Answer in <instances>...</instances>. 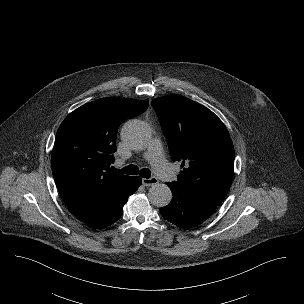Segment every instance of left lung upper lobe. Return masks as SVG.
Masks as SVG:
<instances>
[{
	"mask_svg": "<svg viewBox=\"0 0 304 304\" xmlns=\"http://www.w3.org/2000/svg\"><path fill=\"white\" fill-rule=\"evenodd\" d=\"M173 161L183 168L174 188L220 205L233 179L234 147L222 121L208 108L181 95L152 101Z\"/></svg>",
	"mask_w": 304,
	"mask_h": 304,
	"instance_id": "5c2ea615",
	"label": "left lung upper lobe"
}]
</instances>
